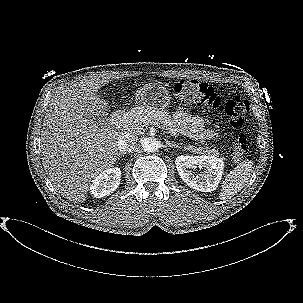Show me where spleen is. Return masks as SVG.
<instances>
[{"label": "spleen", "instance_id": "3e777b00", "mask_svg": "<svg viewBox=\"0 0 303 303\" xmlns=\"http://www.w3.org/2000/svg\"><path fill=\"white\" fill-rule=\"evenodd\" d=\"M253 161L244 160L226 176L219 198L225 200L236 195L248 183L253 171Z\"/></svg>", "mask_w": 303, "mask_h": 303}]
</instances>
